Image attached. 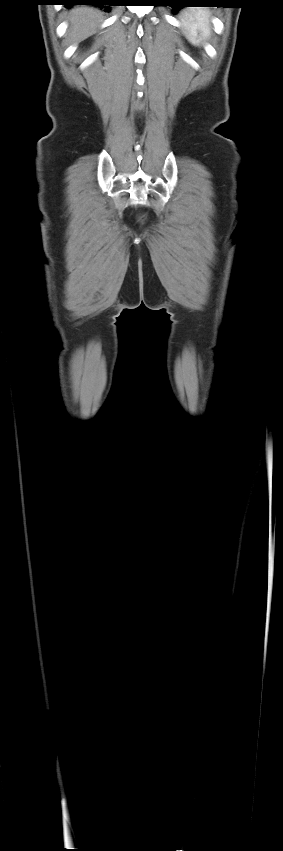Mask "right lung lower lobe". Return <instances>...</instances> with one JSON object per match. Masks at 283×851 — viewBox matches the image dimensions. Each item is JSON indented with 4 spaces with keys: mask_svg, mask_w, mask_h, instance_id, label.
<instances>
[{
    "mask_svg": "<svg viewBox=\"0 0 283 851\" xmlns=\"http://www.w3.org/2000/svg\"><path fill=\"white\" fill-rule=\"evenodd\" d=\"M64 2L65 5H96L101 8L105 7L106 11H109V6L115 5L111 2L113 0H58Z\"/></svg>",
    "mask_w": 283,
    "mask_h": 851,
    "instance_id": "obj_1",
    "label": "right lung lower lobe"
}]
</instances>
